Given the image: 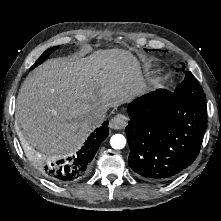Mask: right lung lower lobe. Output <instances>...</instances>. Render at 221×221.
<instances>
[{"label":"right lung lower lobe","mask_w":221,"mask_h":221,"mask_svg":"<svg viewBox=\"0 0 221 221\" xmlns=\"http://www.w3.org/2000/svg\"><path fill=\"white\" fill-rule=\"evenodd\" d=\"M108 122L95 129L84 146L72 157L61 160H37L36 167L42 175L57 183H69L85 176L100 144L109 134Z\"/></svg>","instance_id":"1"}]
</instances>
